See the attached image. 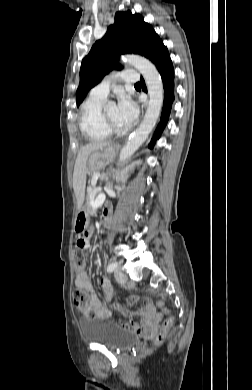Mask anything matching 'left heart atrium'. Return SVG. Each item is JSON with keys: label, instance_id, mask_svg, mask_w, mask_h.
Masks as SVG:
<instances>
[{"label": "left heart atrium", "instance_id": "1", "mask_svg": "<svg viewBox=\"0 0 252 390\" xmlns=\"http://www.w3.org/2000/svg\"><path fill=\"white\" fill-rule=\"evenodd\" d=\"M117 112L122 124L129 125L136 120L138 108L136 103L129 96L121 94L117 103Z\"/></svg>", "mask_w": 252, "mask_h": 390}]
</instances>
